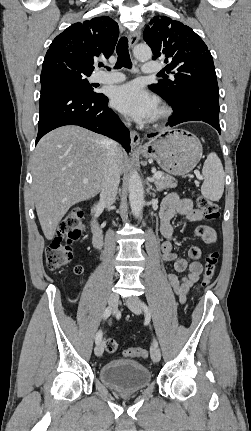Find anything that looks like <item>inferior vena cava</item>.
<instances>
[{
	"mask_svg": "<svg viewBox=\"0 0 251 431\" xmlns=\"http://www.w3.org/2000/svg\"><path fill=\"white\" fill-rule=\"evenodd\" d=\"M106 144L107 154L105 161L104 184L100 193V202L105 207L109 208L116 200L121 174L117 164L118 143L111 139H107Z\"/></svg>",
	"mask_w": 251,
	"mask_h": 431,
	"instance_id": "1",
	"label": "inferior vena cava"
}]
</instances>
